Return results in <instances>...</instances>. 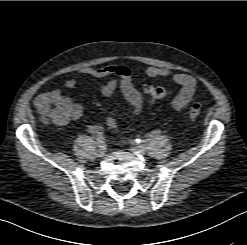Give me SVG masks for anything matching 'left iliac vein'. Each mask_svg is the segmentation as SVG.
I'll list each match as a JSON object with an SVG mask.
<instances>
[{
    "instance_id": "left-iliac-vein-1",
    "label": "left iliac vein",
    "mask_w": 247,
    "mask_h": 245,
    "mask_svg": "<svg viewBox=\"0 0 247 245\" xmlns=\"http://www.w3.org/2000/svg\"><path fill=\"white\" fill-rule=\"evenodd\" d=\"M131 151L140 155L146 154V148L143 145H133Z\"/></svg>"
}]
</instances>
